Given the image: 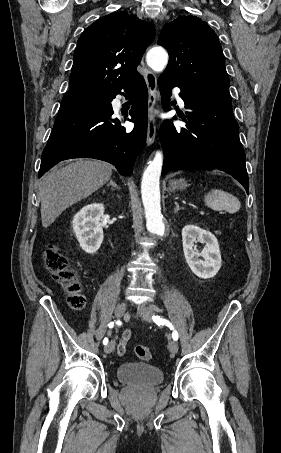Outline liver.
<instances>
[{
  "mask_svg": "<svg viewBox=\"0 0 281 453\" xmlns=\"http://www.w3.org/2000/svg\"><path fill=\"white\" fill-rule=\"evenodd\" d=\"M112 164L77 158L63 168H51L39 182L42 227H49L74 202L87 198L112 176Z\"/></svg>",
  "mask_w": 281,
  "mask_h": 453,
  "instance_id": "6515ba94",
  "label": "liver"
}]
</instances>
